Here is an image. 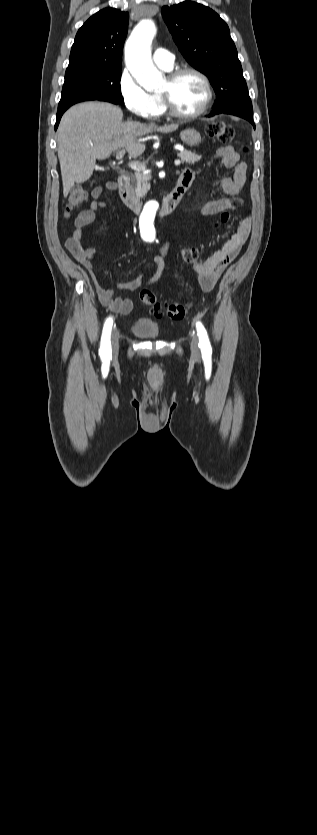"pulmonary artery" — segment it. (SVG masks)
Segmentation results:
<instances>
[{
	"label": "pulmonary artery",
	"mask_w": 317,
	"mask_h": 835,
	"mask_svg": "<svg viewBox=\"0 0 317 835\" xmlns=\"http://www.w3.org/2000/svg\"><path fill=\"white\" fill-rule=\"evenodd\" d=\"M153 61L160 68L171 70L174 65V55L170 51L159 47L153 53Z\"/></svg>",
	"instance_id": "1"
}]
</instances>
